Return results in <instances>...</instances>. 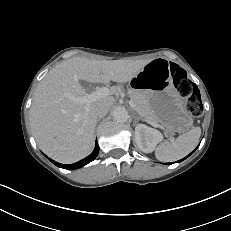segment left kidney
Returning a JSON list of instances; mask_svg holds the SVG:
<instances>
[{
	"instance_id": "5707ae66",
	"label": "left kidney",
	"mask_w": 231,
	"mask_h": 231,
	"mask_svg": "<svg viewBox=\"0 0 231 231\" xmlns=\"http://www.w3.org/2000/svg\"><path fill=\"white\" fill-rule=\"evenodd\" d=\"M161 140L162 135L156 129L145 124H138L135 127V142L144 153H151Z\"/></svg>"
}]
</instances>
